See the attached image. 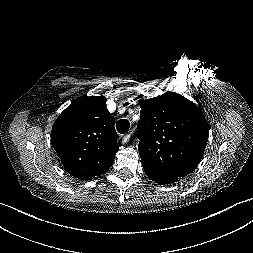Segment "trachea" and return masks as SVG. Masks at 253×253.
Returning <instances> with one entry per match:
<instances>
[{
    "label": "trachea",
    "instance_id": "obj_1",
    "mask_svg": "<svg viewBox=\"0 0 253 253\" xmlns=\"http://www.w3.org/2000/svg\"><path fill=\"white\" fill-rule=\"evenodd\" d=\"M129 127H130V123L127 119H120L117 121L116 128L120 134L127 133L129 130Z\"/></svg>",
    "mask_w": 253,
    "mask_h": 253
}]
</instances>
